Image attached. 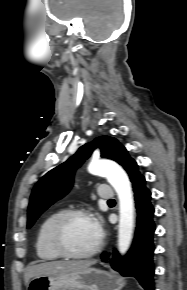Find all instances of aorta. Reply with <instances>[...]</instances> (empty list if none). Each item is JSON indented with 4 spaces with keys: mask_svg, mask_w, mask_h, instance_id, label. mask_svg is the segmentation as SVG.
Returning <instances> with one entry per match:
<instances>
[{
    "mask_svg": "<svg viewBox=\"0 0 187 290\" xmlns=\"http://www.w3.org/2000/svg\"><path fill=\"white\" fill-rule=\"evenodd\" d=\"M88 171L93 175L106 177L118 195V249L124 254L130 246L134 228V202L128 176L120 166L105 160L92 161Z\"/></svg>",
    "mask_w": 187,
    "mask_h": 290,
    "instance_id": "aorta-1",
    "label": "aorta"
}]
</instances>
